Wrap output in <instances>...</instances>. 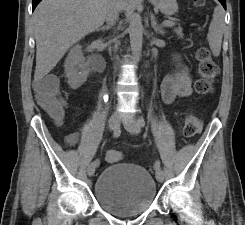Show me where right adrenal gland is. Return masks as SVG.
<instances>
[{
  "label": "right adrenal gland",
  "instance_id": "1",
  "mask_svg": "<svg viewBox=\"0 0 245 225\" xmlns=\"http://www.w3.org/2000/svg\"><path fill=\"white\" fill-rule=\"evenodd\" d=\"M111 26H112L111 24H108L106 26H103V27L97 29V31H107L111 28Z\"/></svg>",
  "mask_w": 245,
  "mask_h": 225
}]
</instances>
